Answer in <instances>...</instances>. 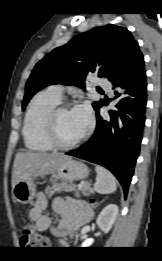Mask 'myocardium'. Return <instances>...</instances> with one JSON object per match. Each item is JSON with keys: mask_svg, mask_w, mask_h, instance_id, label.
Segmentation results:
<instances>
[{"mask_svg": "<svg viewBox=\"0 0 162 261\" xmlns=\"http://www.w3.org/2000/svg\"><path fill=\"white\" fill-rule=\"evenodd\" d=\"M66 110H70V105L67 103H59L49 111V113L45 118V123H44L45 133L48 141L54 148L61 149V150H69L75 148L87 136V130H85L84 133L73 142L65 143L59 139L57 135L56 122H57L58 115Z\"/></svg>", "mask_w": 162, "mask_h": 261, "instance_id": "obj_1", "label": "myocardium"}]
</instances>
